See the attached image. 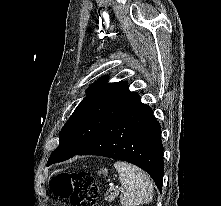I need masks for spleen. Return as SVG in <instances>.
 Listing matches in <instances>:
<instances>
[{
	"mask_svg": "<svg viewBox=\"0 0 221 206\" xmlns=\"http://www.w3.org/2000/svg\"><path fill=\"white\" fill-rule=\"evenodd\" d=\"M114 166L123 186V192L120 196L122 206H139L152 201L153 184L144 171L123 161L115 162Z\"/></svg>",
	"mask_w": 221,
	"mask_h": 206,
	"instance_id": "spleen-1",
	"label": "spleen"
}]
</instances>
